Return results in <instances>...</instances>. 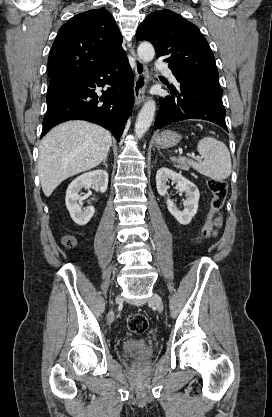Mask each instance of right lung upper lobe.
<instances>
[{
    "label": "right lung upper lobe",
    "mask_w": 272,
    "mask_h": 417,
    "mask_svg": "<svg viewBox=\"0 0 272 417\" xmlns=\"http://www.w3.org/2000/svg\"><path fill=\"white\" fill-rule=\"evenodd\" d=\"M122 35L106 9L80 13L59 30L48 61L50 82L95 71L124 53Z\"/></svg>",
    "instance_id": "right-lung-upper-lobe-1"
}]
</instances>
